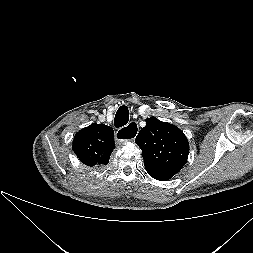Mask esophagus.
Here are the masks:
<instances>
[{
  "instance_id": "obj_1",
  "label": "esophagus",
  "mask_w": 253,
  "mask_h": 253,
  "mask_svg": "<svg viewBox=\"0 0 253 253\" xmlns=\"http://www.w3.org/2000/svg\"><path fill=\"white\" fill-rule=\"evenodd\" d=\"M138 131V124L136 122H131L127 126L118 129L116 132V139L120 142L133 140L137 136Z\"/></svg>"
}]
</instances>
